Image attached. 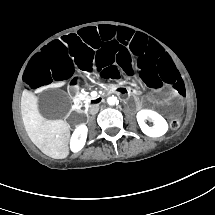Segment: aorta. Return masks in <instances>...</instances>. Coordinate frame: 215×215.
<instances>
[{"instance_id": "762f6f07", "label": "aorta", "mask_w": 215, "mask_h": 215, "mask_svg": "<svg viewBox=\"0 0 215 215\" xmlns=\"http://www.w3.org/2000/svg\"><path fill=\"white\" fill-rule=\"evenodd\" d=\"M118 101V98L116 96H111L108 98L109 105H115Z\"/></svg>"}]
</instances>
